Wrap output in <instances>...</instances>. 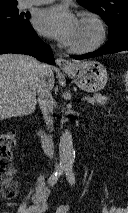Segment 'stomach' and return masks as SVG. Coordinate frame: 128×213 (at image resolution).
<instances>
[{"label":"stomach","mask_w":128,"mask_h":213,"mask_svg":"<svg viewBox=\"0 0 128 213\" xmlns=\"http://www.w3.org/2000/svg\"><path fill=\"white\" fill-rule=\"evenodd\" d=\"M76 84L87 92H97L105 87L108 74L106 68L97 61L75 63L71 70L65 71Z\"/></svg>","instance_id":"1"}]
</instances>
